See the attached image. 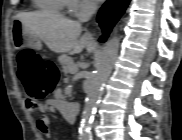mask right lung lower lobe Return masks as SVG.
Wrapping results in <instances>:
<instances>
[{
	"instance_id": "1",
	"label": "right lung lower lobe",
	"mask_w": 182,
	"mask_h": 140,
	"mask_svg": "<svg viewBox=\"0 0 182 140\" xmlns=\"http://www.w3.org/2000/svg\"><path fill=\"white\" fill-rule=\"evenodd\" d=\"M130 0H108L100 9L97 22L100 24L103 35L100 38L104 42L112 28L125 12Z\"/></svg>"
}]
</instances>
